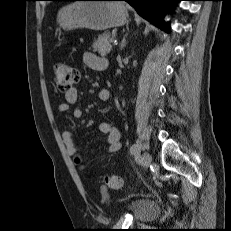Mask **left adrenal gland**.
<instances>
[{"label": "left adrenal gland", "mask_w": 231, "mask_h": 231, "mask_svg": "<svg viewBox=\"0 0 231 231\" xmlns=\"http://www.w3.org/2000/svg\"><path fill=\"white\" fill-rule=\"evenodd\" d=\"M127 29H128V28H127ZM127 36H128V33H126V34L123 36V39H122V41H121V43H120V49H121V50L124 49V47H125L126 44H127V41H126Z\"/></svg>", "instance_id": "left-adrenal-gland-1"}]
</instances>
